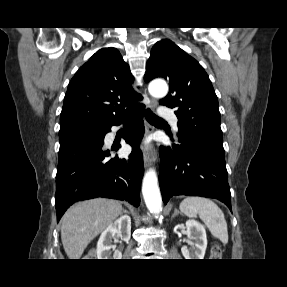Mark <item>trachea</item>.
Wrapping results in <instances>:
<instances>
[{
    "label": "trachea",
    "instance_id": "trachea-1",
    "mask_svg": "<svg viewBox=\"0 0 287 287\" xmlns=\"http://www.w3.org/2000/svg\"><path fill=\"white\" fill-rule=\"evenodd\" d=\"M146 119L150 123H162L165 122L162 118L155 115L150 109L146 110Z\"/></svg>",
    "mask_w": 287,
    "mask_h": 287
}]
</instances>
